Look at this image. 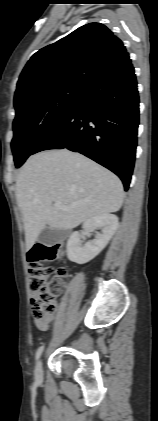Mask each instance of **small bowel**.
Instances as JSON below:
<instances>
[{
	"label": "small bowel",
	"instance_id": "1",
	"mask_svg": "<svg viewBox=\"0 0 158 421\" xmlns=\"http://www.w3.org/2000/svg\"><path fill=\"white\" fill-rule=\"evenodd\" d=\"M52 319H53V316H51L47 319H44V320H39V319L34 318V324L39 330L47 331L48 328H49V324L51 323Z\"/></svg>",
	"mask_w": 158,
	"mask_h": 421
}]
</instances>
